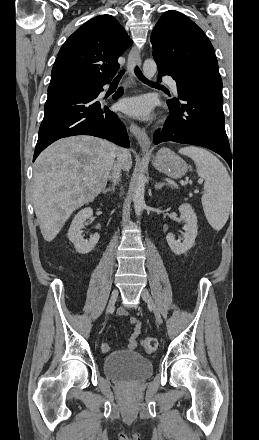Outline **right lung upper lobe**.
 I'll return each mask as SVG.
<instances>
[{
    "mask_svg": "<svg viewBox=\"0 0 259 440\" xmlns=\"http://www.w3.org/2000/svg\"><path fill=\"white\" fill-rule=\"evenodd\" d=\"M132 41L111 15L97 16L79 27L58 52L48 93L99 86L119 68L117 59Z\"/></svg>",
    "mask_w": 259,
    "mask_h": 440,
    "instance_id": "1",
    "label": "right lung upper lobe"
}]
</instances>
